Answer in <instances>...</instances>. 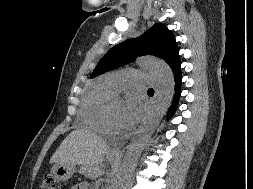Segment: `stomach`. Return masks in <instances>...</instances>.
<instances>
[{"mask_svg": "<svg viewBox=\"0 0 253 189\" xmlns=\"http://www.w3.org/2000/svg\"><path fill=\"white\" fill-rule=\"evenodd\" d=\"M75 170L73 164H60L56 163L53 165L51 171L54 177L59 181H67L71 178Z\"/></svg>", "mask_w": 253, "mask_h": 189, "instance_id": "0dacf381", "label": "stomach"}]
</instances>
